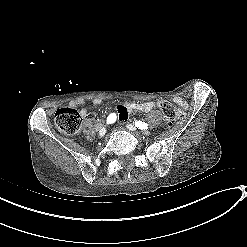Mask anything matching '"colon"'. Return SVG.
Here are the masks:
<instances>
[{"mask_svg": "<svg viewBox=\"0 0 247 247\" xmlns=\"http://www.w3.org/2000/svg\"><path fill=\"white\" fill-rule=\"evenodd\" d=\"M158 107L167 124L175 122L178 114L171 103L160 101ZM54 120L57 128L65 134H74L81 126V115L78 110L72 107L58 109L55 113Z\"/></svg>", "mask_w": 247, "mask_h": 247, "instance_id": "colon-1", "label": "colon"}]
</instances>
